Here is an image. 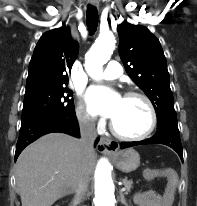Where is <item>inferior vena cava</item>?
Segmentation results:
<instances>
[{
	"mask_svg": "<svg viewBox=\"0 0 197 206\" xmlns=\"http://www.w3.org/2000/svg\"><path fill=\"white\" fill-rule=\"evenodd\" d=\"M80 134L83 160L78 174V183L75 189L76 200L80 202L88 190L89 179L86 173L85 155L94 151V143L97 138L95 121L90 117L80 120Z\"/></svg>",
	"mask_w": 197,
	"mask_h": 206,
	"instance_id": "obj_1",
	"label": "inferior vena cava"
}]
</instances>
